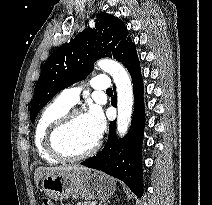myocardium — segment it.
<instances>
[{"label": "myocardium", "instance_id": "1", "mask_svg": "<svg viewBox=\"0 0 212 205\" xmlns=\"http://www.w3.org/2000/svg\"><path fill=\"white\" fill-rule=\"evenodd\" d=\"M81 111L77 109L68 110L66 113H64L62 116H60L48 129L45 143L46 148L48 152L57 158L60 161H66V162H74L83 160L85 158H88L92 156L100 146L99 139L96 140V142L85 152L77 155H71L66 153L60 144V138L67 126L70 124V122L77 116H81Z\"/></svg>", "mask_w": 212, "mask_h": 205}]
</instances>
